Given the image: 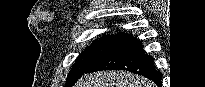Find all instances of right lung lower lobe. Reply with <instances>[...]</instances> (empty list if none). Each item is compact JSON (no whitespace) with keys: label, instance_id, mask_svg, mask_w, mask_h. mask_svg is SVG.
Returning a JSON list of instances; mask_svg holds the SVG:
<instances>
[{"label":"right lung lower lobe","instance_id":"obj_1","mask_svg":"<svg viewBox=\"0 0 205 87\" xmlns=\"http://www.w3.org/2000/svg\"><path fill=\"white\" fill-rule=\"evenodd\" d=\"M99 70H127L152 80L158 86L162 85V74L155 69L153 58L144 53L134 37L100 59L85 73Z\"/></svg>","mask_w":205,"mask_h":87}]
</instances>
